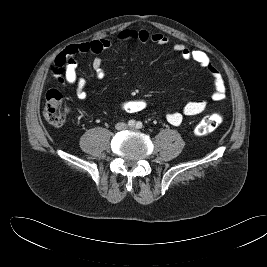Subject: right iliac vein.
<instances>
[{
	"mask_svg": "<svg viewBox=\"0 0 267 267\" xmlns=\"http://www.w3.org/2000/svg\"><path fill=\"white\" fill-rule=\"evenodd\" d=\"M118 128L119 129H125L126 127H125V125L121 124V125L118 126Z\"/></svg>",
	"mask_w": 267,
	"mask_h": 267,
	"instance_id": "right-iliac-vein-1",
	"label": "right iliac vein"
}]
</instances>
